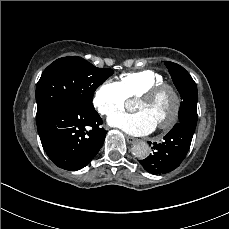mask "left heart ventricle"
Returning a JSON list of instances; mask_svg holds the SVG:
<instances>
[{"mask_svg":"<svg viewBox=\"0 0 229 229\" xmlns=\"http://www.w3.org/2000/svg\"><path fill=\"white\" fill-rule=\"evenodd\" d=\"M170 90L164 91L155 100L139 99L135 110L146 112L156 125L166 123L165 118L170 114Z\"/></svg>","mask_w":229,"mask_h":229,"instance_id":"b2bd125f","label":"left heart ventricle"}]
</instances>
